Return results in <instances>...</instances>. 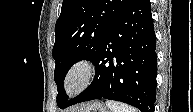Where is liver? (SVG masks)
<instances>
[{
  "mask_svg": "<svg viewBox=\"0 0 193 112\" xmlns=\"http://www.w3.org/2000/svg\"><path fill=\"white\" fill-rule=\"evenodd\" d=\"M83 105H84V104L80 105V107L83 106ZM78 108H79V107L73 108V109H71V111H72V112H75Z\"/></svg>",
  "mask_w": 193,
  "mask_h": 112,
  "instance_id": "6515ba94",
  "label": "liver"
}]
</instances>
